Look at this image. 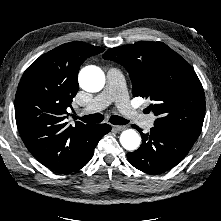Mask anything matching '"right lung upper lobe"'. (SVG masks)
<instances>
[{"label":"right lung upper lobe","mask_w":221,"mask_h":221,"mask_svg":"<svg viewBox=\"0 0 221 221\" xmlns=\"http://www.w3.org/2000/svg\"><path fill=\"white\" fill-rule=\"evenodd\" d=\"M104 48L70 42L40 56L24 72L15 97V117L30 153L46 167L61 163L77 141L95 124L65 122L78 91V71L90 56Z\"/></svg>","instance_id":"obj_1"}]
</instances>
